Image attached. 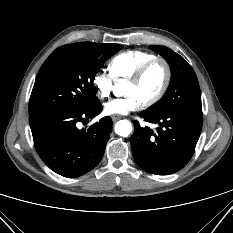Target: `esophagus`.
Segmentation results:
<instances>
[{
	"mask_svg": "<svg viewBox=\"0 0 233 233\" xmlns=\"http://www.w3.org/2000/svg\"><path fill=\"white\" fill-rule=\"evenodd\" d=\"M111 118L115 122V121L119 120L121 118V116H119V115H112Z\"/></svg>",
	"mask_w": 233,
	"mask_h": 233,
	"instance_id": "34e87169",
	"label": "esophagus"
}]
</instances>
